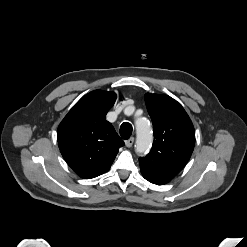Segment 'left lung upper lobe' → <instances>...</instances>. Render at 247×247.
<instances>
[{"label": "left lung upper lobe", "instance_id": "obj_1", "mask_svg": "<svg viewBox=\"0 0 247 247\" xmlns=\"http://www.w3.org/2000/svg\"><path fill=\"white\" fill-rule=\"evenodd\" d=\"M152 119L154 142L150 153L139 159L146 180L157 185L170 182L188 162L195 144L193 124L183 107L167 95H145Z\"/></svg>", "mask_w": 247, "mask_h": 247}]
</instances>
